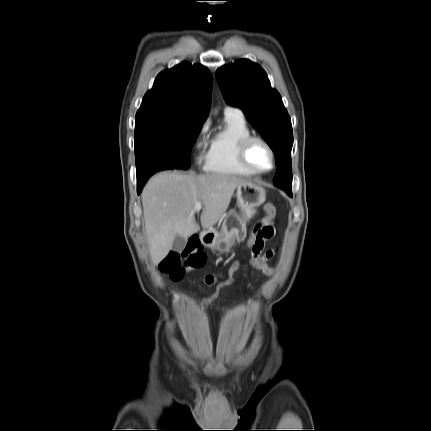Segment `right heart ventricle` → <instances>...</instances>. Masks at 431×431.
<instances>
[{"label": "right heart ventricle", "instance_id": "obj_1", "mask_svg": "<svg viewBox=\"0 0 431 431\" xmlns=\"http://www.w3.org/2000/svg\"><path fill=\"white\" fill-rule=\"evenodd\" d=\"M250 135V129L241 115L225 114L224 127L210 140L205 159V171L245 177L256 175L245 168L238 158L240 142Z\"/></svg>", "mask_w": 431, "mask_h": 431}]
</instances>
